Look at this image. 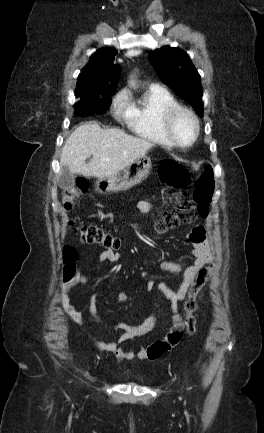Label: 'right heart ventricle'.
I'll list each match as a JSON object with an SVG mask.
<instances>
[{
  "mask_svg": "<svg viewBox=\"0 0 264 433\" xmlns=\"http://www.w3.org/2000/svg\"><path fill=\"white\" fill-rule=\"evenodd\" d=\"M178 105L165 89H147L140 98L129 102L126 125L136 136L165 146H172L162 127L164 112Z\"/></svg>",
  "mask_w": 264,
  "mask_h": 433,
  "instance_id": "1",
  "label": "right heart ventricle"
}]
</instances>
